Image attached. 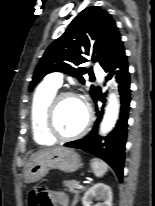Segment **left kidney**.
I'll return each instance as SVG.
<instances>
[{"mask_svg":"<svg viewBox=\"0 0 155 206\" xmlns=\"http://www.w3.org/2000/svg\"><path fill=\"white\" fill-rule=\"evenodd\" d=\"M93 199L101 201L94 206H112L111 188L104 183L93 185L85 192L82 198L83 206H91Z\"/></svg>","mask_w":155,"mask_h":206,"instance_id":"5707ae66","label":"left kidney"}]
</instances>
